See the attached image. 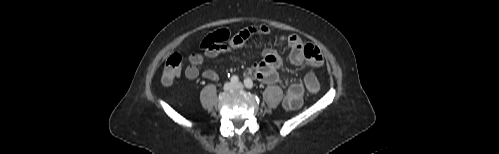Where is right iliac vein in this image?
<instances>
[{"instance_id":"1","label":"right iliac vein","mask_w":499,"mask_h":154,"mask_svg":"<svg viewBox=\"0 0 499 154\" xmlns=\"http://www.w3.org/2000/svg\"><path fill=\"white\" fill-rule=\"evenodd\" d=\"M233 88H234V84H233V83H230V82H229V83H226V84L224 85V89H225V90H231V89H233Z\"/></svg>"}]
</instances>
